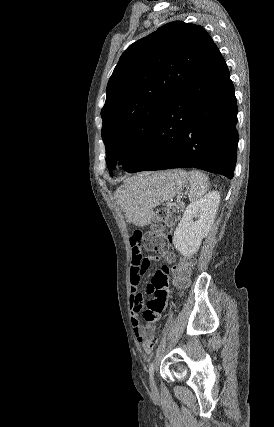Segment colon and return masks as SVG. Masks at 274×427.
Listing matches in <instances>:
<instances>
[{
	"mask_svg": "<svg viewBox=\"0 0 274 427\" xmlns=\"http://www.w3.org/2000/svg\"><path fill=\"white\" fill-rule=\"evenodd\" d=\"M176 216L177 213L174 207L162 206L157 209L154 214L153 223L143 232L144 243L141 247L144 251L154 248H169L165 233L168 231V228L173 226ZM162 223L166 228L161 226ZM190 263L191 261H183L175 264L173 277L176 287L182 288L186 285L190 273ZM157 334L158 331H155L151 337H148L147 340L143 342L144 353H149L150 350H155L156 346L160 345L161 340ZM137 362L138 364H149L150 357L149 355H138Z\"/></svg>",
	"mask_w": 274,
	"mask_h": 427,
	"instance_id": "colon-1",
	"label": "colon"
}]
</instances>
